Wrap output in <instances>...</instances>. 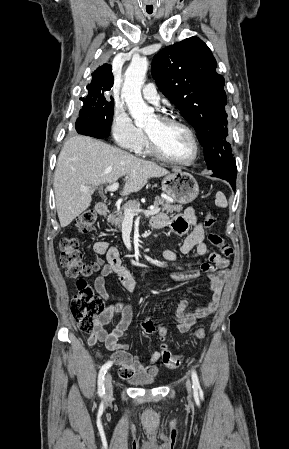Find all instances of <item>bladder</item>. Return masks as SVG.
Returning a JSON list of instances; mask_svg holds the SVG:
<instances>
[{"instance_id": "1", "label": "bladder", "mask_w": 289, "mask_h": 449, "mask_svg": "<svg viewBox=\"0 0 289 449\" xmlns=\"http://www.w3.org/2000/svg\"><path fill=\"white\" fill-rule=\"evenodd\" d=\"M129 381L135 386H149L155 383V378L151 375L137 374L133 376Z\"/></svg>"}]
</instances>
